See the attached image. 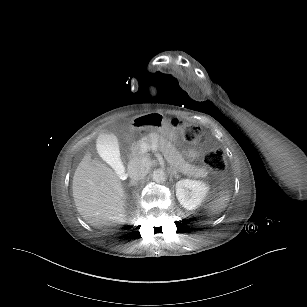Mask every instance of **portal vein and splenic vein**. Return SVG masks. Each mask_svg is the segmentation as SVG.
Returning <instances> with one entry per match:
<instances>
[{
    "label": "portal vein and splenic vein",
    "mask_w": 307,
    "mask_h": 307,
    "mask_svg": "<svg viewBox=\"0 0 307 307\" xmlns=\"http://www.w3.org/2000/svg\"><path fill=\"white\" fill-rule=\"evenodd\" d=\"M147 148H148V149H151V150H153V151H157L158 145L155 144V143H152L149 147H148V145H145V146H142V147L140 148V151H141L142 153H145V152L147 151Z\"/></svg>",
    "instance_id": "18ae733b"
}]
</instances>
